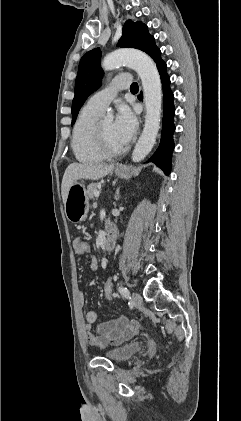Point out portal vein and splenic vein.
Returning <instances> with one entry per match:
<instances>
[{
  "label": "portal vein and splenic vein",
  "mask_w": 241,
  "mask_h": 421,
  "mask_svg": "<svg viewBox=\"0 0 241 421\" xmlns=\"http://www.w3.org/2000/svg\"><path fill=\"white\" fill-rule=\"evenodd\" d=\"M99 194H100V193H99V191H95V192H94V196H95V197H99Z\"/></svg>",
  "instance_id": "portal-vein-and-splenic-vein-1"
}]
</instances>
